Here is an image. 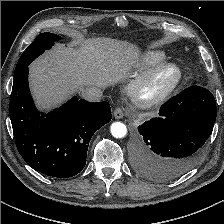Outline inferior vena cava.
Here are the masks:
<instances>
[{
    "label": "inferior vena cava",
    "mask_w": 224,
    "mask_h": 224,
    "mask_svg": "<svg viewBox=\"0 0 224 224\" xmlns=\"http://www.w3.org/2000/svg\"><path fill=\"white\" fill-rule=\"evenodd\" d=\"M81 96L87 101L98 102L102 98V91L97 87H88L82 90Z\"/></svg>",
    "instance_id": "inferior-vena-cava-1"
}]
</instances>
